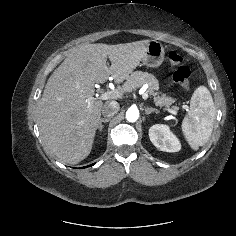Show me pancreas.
<instances>
[{
	"label": "pancreas",
	"instance_id": "obj_1",
	"mask_svg": "<svg viewBox=\"0 0 236 236\" xmlns=\"http://www.w3.org/2000/svg\"><path fill=\"white\" fill-rule=\"evenodd\" d=\"M144 84H148L147 93L153 97L156 106L169 107L174 102L172 97L167 96L161 92H158L159 83L154 75L148 72L135 71L130 74L123 85L122 90L130 92L135 88H138Z\"/></svg>",
	"mask_w": 236,
	"mask_h": 236
}]
</instances>
